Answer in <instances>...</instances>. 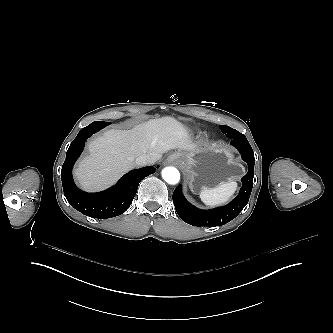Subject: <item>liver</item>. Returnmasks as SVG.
Segmentation results:
<instances>
[{"instance_id": "obj_1", "label": "liver", "mask_w": 333, "mask_h": 333, "mask_svg": "<svg viewBox=\"0 0 333 333\" xmlns=\"http://www.w3.org/2000/svg\"><path fill=\"white\" fill-rule=\"evenodd\" d=\"M188 133L172 118L154 119L131 131L110 130L89 144L91 155L80 162L77 178L88 190L104 188L134 168L140 155L154 163L174 149L193 151Z\"/></svg>"}]
</instances>
